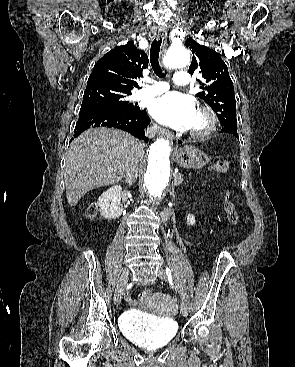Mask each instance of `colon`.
Here are the masks:
<instances>
[{
    "mask_svg": "<svg viewBox=\"0 0 295 367\" xmlns=\"http://www.w3.org/2000/svg\"><path fill=\"white\" fill-rule=\"evenodd\" d=\"M229 169V163L227 160H217L210 165V170L217 174H225ZM223 209L231 223L236 224L238 222V213L236 211L234 203L231 201L229 194L227 193L224 197ZM97 213L96 204H91L86 211L88 217H93ZM151 295V291L145 290L141 296L146 298Z\"/></svg>",
    "mask_w": 295,
    "mask_h": 367,
    "instance_id": "5ec220e1",
    "label": "colon"
}]
</instances>
